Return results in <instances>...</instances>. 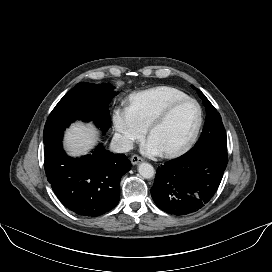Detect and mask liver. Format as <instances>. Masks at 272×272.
I'll return each mask as SVG.
<instances>
[{"mask_svg": "<svg viewBox=\"0 0 272 272\" xmlns=\"http://www.w3.org/2000/svg\"><path fill=\"white\" fill-rule=\"evenodd\" d=\"M98 131L91 124H73L65 133V147L72 156L86 154L97 142Z\"/></svg>", "mask_w": 272, "mask_h": 272, "instance_id": "liver-1", "label": "liver"}]
</instances>
